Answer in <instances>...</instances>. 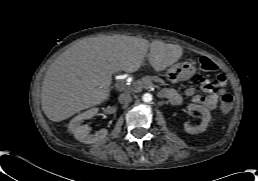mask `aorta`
<instances>
[{"label": "aorta", "mask_w": 258, "mask_h": 181, "mask_svg": "<svg viewBox=\"0 0 258 181\" xmlns=\"http://www.w3.org/2000/svg\"><path fill=\"white\" fill-rule=\"evenodd\" d=\"M142 100H143V102H145V103H149V102L152 101V95L149 94V93H146V94H144V95L142 96Z\"/></svg>", "instance_id": "1"}]
</instances>
